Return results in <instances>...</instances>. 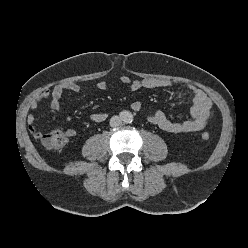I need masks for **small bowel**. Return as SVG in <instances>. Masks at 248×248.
I'll return each instance as SVG.
<instances>
[{
  "instance_id": "1",
  "label": "small bowel",
  "mask_w": 248,
  "mask_h": 248,
  "mask_svg": "<svg viewBox=\"0 0 248 248\" xmlns=\"http://www.w3.org/2000/svg\"><path fill=\"white\" fill-rule=\"evenodd\" d=\"M119 82L127 86L131 91L136 92L141 89H156V88H173L176 84L169 80L148 78V79H131L128 76H121ZM97 87L100 90H105L107 88V83L100 81L97 83ZM184 89L192 97V107L190 110L191 119L184 122H173L169 120L165 114L161 111H156L147 117V120L158 126L160 129L170 133H187L202 130L206 127L208 122L211 120L214 114L213 103L211 99L203 92L201 89L197 88L192 84H185ZM80 86L71 81L62 82L54 86L51 90L43 91L36 99H34L30 108L35 110L38 108L39 104L44 100H49L50 107L54 111H60L61 105L60 100L64 92L79 93ZM131 109L135 112H141L143 109L142 104L139 101H134L131 103ZM89 118L95 123H101L106 120L107 115L105 113H92ZM27 125L32 133V135L40 139L42 132L37 130L35 126V116L31 113L27 117ZM66 134L69 137L76 135L74 129H68Z\"/></svg>"
}]
</instances>
